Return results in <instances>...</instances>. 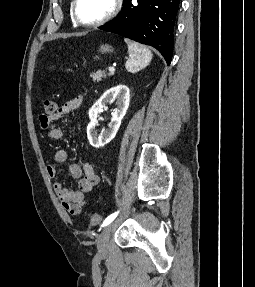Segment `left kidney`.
I'll use <instances>...</instances> for the list:
<instances>
[{"mask_svg": "<svg viewBox=\"0 0 255 287\" xmlns=\"http://www.w3.org/2000/svg\"><path fill=\"white\" fill-rule=\"evenodd\" d=\"M112 100H117V108L112 114L111 122L108 124V130H104L102 134H97L95 128L96 126H99L97 120L98 114H100V110L106 108V104L112 102ZM129 102V88L123 86V84H119V86L107 90V92L93 104L92 108L89 110L90 122L87 126L88 140L93 147H102V145L109 144V142L115 138L120 128L121 120H123L128 110Z\"/></svg>", "mask_w": 255, "mask_h": 287, "instance_id": "left-kidney-1", "label": "left kidney"}]
</instances>
